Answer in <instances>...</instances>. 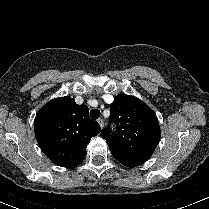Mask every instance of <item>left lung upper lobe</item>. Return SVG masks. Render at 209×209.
Instances as JSON below:
<instances>
[{
	"label": "left lung upper lobe",
	"instance_id": "5c2ea615",
	"mask_svg": "<svg viewBox=\"0 0 209 209\" xmlns=\"http://www.w3.org/2000/svg\"><path fill=\"white\" fill-rule=\"evenodd\" d=\"M110 119L116 123L117 130L112 133L105 128L101 136L114 158L127 167L145 163L161 136L156 114L136 97L120 94L110 106Z\"/></svg>",
	"mask_w": 209,
	"mask_h": 209
}]
</instances>
